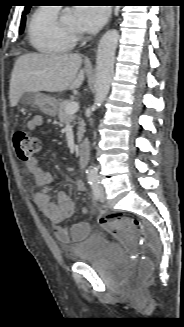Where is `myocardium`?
<instances>
[{"mask_svg":"<svg viewBox=\"0 0 184 327\" xmlns=\"http://www.w3.org/2000/svg\"><path fill=\"white\" fill-rule=\"evenodd\" d=\"M58 26L59 28L66 33L67 35H69L70 37H72L73 39L76 38L78 36V32L76 29H70V28H66L63 24L61 19L58 20Z\"/></svg>","mask_w":184,"mask_h":327,"instance_id":"1","label":"myocardium"}]
</instances>
